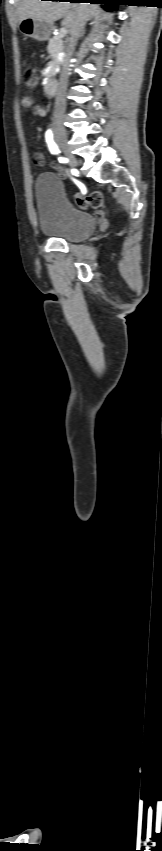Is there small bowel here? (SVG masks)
<instances>
[{"mask_svg": "<svg viewBox=\"0 0 162 851\" xmlns=\"http://www.w3.org/2000/svg\"><path fill=\"white\" fill-rule=\"evenodd\" d=\"M21 105L25 109H31L33 111L34 115L37 116V117H44L46 115V109L42 105L36 103L31 98L22 99ZM33 161H34L35 165H37L39 167H44L47 164L43 153H41L39 151H37L33 154ZM53 164L58 170H61L60 167L57 164H55V163H53Z\"/></svg>", "mask_w": 162, "mask_h": 851, "instance_id": "1", "label": "small bowel"}]
</instances>
